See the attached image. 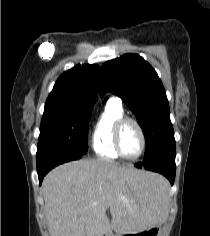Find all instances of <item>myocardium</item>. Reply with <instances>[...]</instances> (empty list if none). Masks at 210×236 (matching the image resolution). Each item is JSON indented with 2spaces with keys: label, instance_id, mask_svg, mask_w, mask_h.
<instances>
[{
  "label": "myocardium",
  "instance_id": "myocardium-1",
  "mask_svg": "<svg viewBox=\"0 0 210 236\" xmlns=\"http://www.w3.org/2000/svg\"><path fill=\"white\" fill-rule=\"evenodd\" d=\"M126 123H133L137 127L140 137H141L140 151L134 157H127L123 153L122 148H121V132H122V129ZM113 141H114V148H115L117 154L119 155V157H121L122 159L127 160V161L138 160L142 156V154L144 153L145 148H146V135H145V132H144L141 124L135 118L128 117V116H123L117 120L115 127H114Z\"/></svg>",
  "mask_w": 210,
  "mask_h": 236
}]
</instances>
